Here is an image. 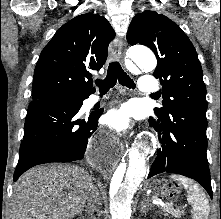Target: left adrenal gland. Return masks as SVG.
Masks as SVG:
<instances>
[{
	"label": "left adrenal gland",
	"mask_w": 221,
	"mask_h": 219,
	"mask_svg": "<svg viewBox=\"0 0 221 219\" xmlns=\"http://www.w3.org/2000/svg\"><path fill=\"white\" fill-rule=\"evenodd\" d=\"M140 206H141L140 211H141L142 213H145V212H146V211H145V208H146V206H149V205H146V204L144 203V201H142L141 204H140Z\"/></svg>",
	"instance_id": "obj_1"
}]
</instances>
